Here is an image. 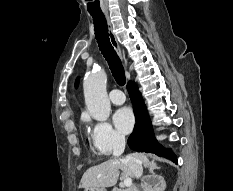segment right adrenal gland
<instances>
[{"instance_id":"obj_1","label":"right adrenal gland","mask_w":233,"mask_h":191,"mask_svg":"<svg viewBox=\"0 0 233 191\" xmlns=\"http://www.w3.org/2000/svg\"><path fill=\"white\" fill-rule=\"evenodd\" d=\"M148 168H149V173H150L152 176H155L154 170L160 169V167L157 166V163H156L154 160H152L151 162H149ZM144 178H145V177H143L142 180H144Z\"/></svg>"}]
</instances>
